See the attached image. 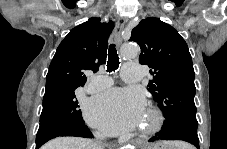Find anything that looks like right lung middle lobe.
Masks as SVG:
<instances>
[{
    "label": "right lung middle lobe",
    "mask_w": 227,
    "mask_h": 149,
    "mask_svg": "<svg viewBox=\"0 0 227 149\" xmlns=\"http://www.w3.org/2000/svg\"><path fill=\"white\" fill-rule=\"evenodd\" d=\"M77 87H54L46 89L40 126L64 123H84L76 98Z\"/></svg>",
    "instance_id": "dd1d6c3e"
}]
</instances>
